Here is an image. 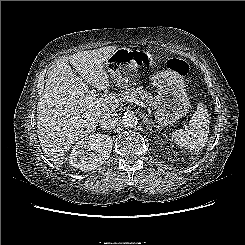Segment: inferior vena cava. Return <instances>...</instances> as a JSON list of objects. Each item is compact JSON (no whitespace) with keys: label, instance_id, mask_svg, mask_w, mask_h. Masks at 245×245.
<instances>
[{"label":"inferior vena cava","instance_id":"inferior-vena-cava-1","mask_svg":"<svg viewBox=\"0 0 245 245\" xmlns=\"http://www.w3.org/2000/svg\"><path fill=\"white\" fill-rule=\"evenodd\" d=\"M118 122V115L115 112L107 113L99 120V126L103 129H112Z\"/></svg>","mask_w":245,"mask_h":245}]
</instances>
